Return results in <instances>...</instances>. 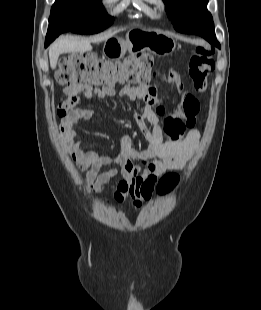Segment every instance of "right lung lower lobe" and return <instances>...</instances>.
Wrapping results in <instances>:
<instances>
[{
	"mask_svg": "<svg viewBox=\"0 0 261 310\" xmlns=\"http://www.w3.org/2000/svg\"><path fill=\"white\" fill-rule=\"evenodd\" d=\"M60 33H62L60 30L56 31L54 33H49L46 36V40H45V46L47 47Z\"/></svg>",
	"mask_w": 261,
	"mask_h": 310,
	"instance_id": "obj_1",
	"label": "right lung lower lobe"
}]
</instances>
